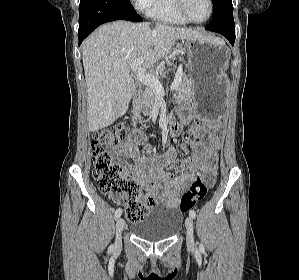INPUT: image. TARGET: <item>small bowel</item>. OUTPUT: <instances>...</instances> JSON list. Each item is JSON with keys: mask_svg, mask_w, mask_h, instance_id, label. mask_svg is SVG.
<instances>
[{"mask_svg": "<svg viewBox=\"0 0 299 280\" xmlns=\"http://www.w3.org/2000/svg\"><path fill=\"white\" fill-rule=\"evenodd\" d=\"M201 126V133H197V142L190 149L186 143L181 148L189 153L191 166L178 176H173L165 170V166L172 160L173 153L165 157H155L150 145L142 138L132 137L114 147L118 156L132 159L135 164L129 165L121 161L126 173L140 187L147 190L146 200L148 209L156 205L169 208L180 207L183 197L190 191L191 184L199 175L211 184L218 174V151L221 147L222 126L217 120L205 121ZM171 130L178 134L181 126L178 121L171 123ZM208 134V140L203 141Z\"/></svg>", "mask_w": 299, "mask_h": 280, "instance_id": "1", "label": "small bowel"}]
</instances>
